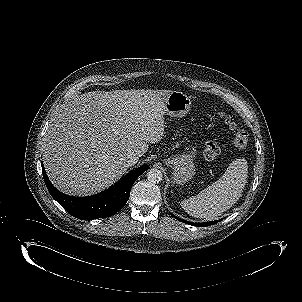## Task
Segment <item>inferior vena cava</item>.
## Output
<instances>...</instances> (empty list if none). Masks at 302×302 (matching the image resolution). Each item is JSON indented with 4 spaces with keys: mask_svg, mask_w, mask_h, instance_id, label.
<instances>
[{
    "mask_svg": "<svg viewBox=\"0 0 302 302\" xmlns=\"http://www.w3.org/2000/svg\"><path fill=\"white\" fill-rule=\"evenodd\" d=\"M140 155L136 152H129L125 157V162L128 166L135 165L139 160Z\"/></svg>",
    "mask_w": 302,
    "mask_h": 302,
    "instance_id": "1",
    "label": "inferior vena cava"
}]
</instances>
